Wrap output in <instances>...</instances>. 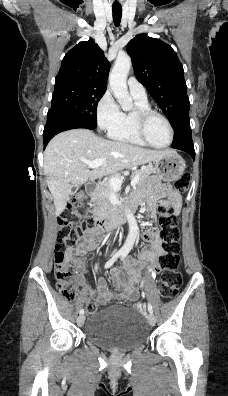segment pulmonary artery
I'll list each match as a JSON object with an SVG mask.
<instances>
[{
	"mask_svg": "<svg viewBox=\"0 0 228 396\" xmlns=\"http://www.w3.org/2000/svg\"><path fill=\"white\" fill-rule=\"evenodd\" d=\"M130 93L138 98H147L145 87L133 76L127 80Z\"/></svg>",
	"mask_w": 228,
	"mask_h": 396,
	"instance_id": "1",
	"label": "pulmonary artery"
}]
</instances>
